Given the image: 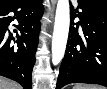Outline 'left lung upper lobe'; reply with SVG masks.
<instances>
[{
  "label": "left lung upper lobe",
  "instance_id": "left-lung-upper-lobe-1",
  "mask_svg": "<svg viewBox=\"0 0 107 89\" xmlns=\"http://www.w3.org/2000/svg\"><path fill=\"white\" fill-rule=\"evenodd\" d=\"M82 4L107 9V0H78Z\"/></svg>",
  "mask_w": 107,
  "mask_h": 89
}]
</instances>
